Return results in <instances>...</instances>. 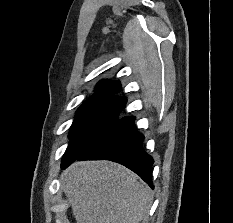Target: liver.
I'll return each instance as SVG.
<instances>
[{"label": "liver", "instance_id": "6515ba94", "mask_svg": "<svg viewBox=\"0 0 233 223\" xmlns=\"http://www.w3.org/2000/svg\"><path fill=\"white\" fill-rule=\"evenodd\" d=\"M60 181L76 223H139L152 205L151 189L114 161H74Z\"/></svg>", "mask_w": 233, "mask_h": 223}]
</instances>
